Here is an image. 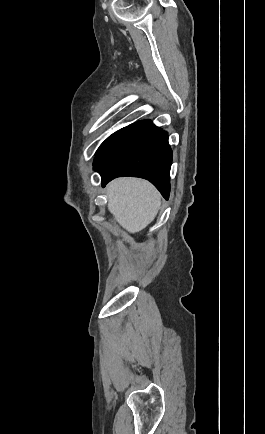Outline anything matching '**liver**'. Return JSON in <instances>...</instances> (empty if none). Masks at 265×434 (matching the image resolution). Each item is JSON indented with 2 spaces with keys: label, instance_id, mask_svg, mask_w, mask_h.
<instances>
[{
  "label": "liver",
  "instance_id": "6515ba94",
  "mask_svg": "<svg viewBox=\"0 0 265 434\" xmlns=\"http://www.w3.org/2000/svg\"><path fill=\"white\" fill-rule=\"evenodd\" d=\"M107 200V208L114 220L130 234L149 226L161 206L158 190L150 182L138 178H118L110 182Z\"/></svg>",
  "mask_w": 265,
  "mask_h": 434
}]
</instances>
